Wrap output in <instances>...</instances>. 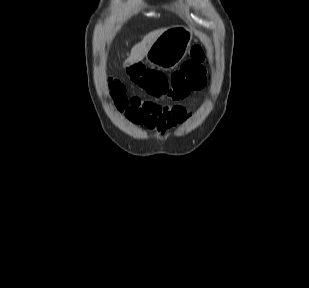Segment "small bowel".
<instances>
[{
	"instance_id": "obj_1",
	"label": "small bowel",
	"mask_w": 309,
	"mask_h": 288,
	"mask_svg": "<svg viewBox=\"0 0 309 288\" xmlns=\"http://www.w3.org/2000/svg\"><path fill=\"white\" fill-rule=\"evenodd\" d=\"M128 106V118L132 122L162 134L188 118L185 108L179 105L159 106L134 97L130 99Z\"/></svg>"
}]
</instances>
